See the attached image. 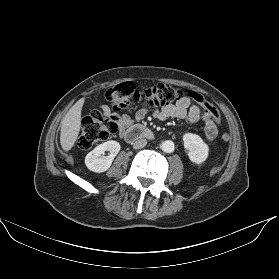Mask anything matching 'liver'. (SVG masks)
<instances>
[{"label":"liver","instance_id":"obj_1","mask_svg":"<svg viewBox=\"0 0 279 279\" xmlns=\"http://www.w3.org/2000/svg\"><path fill=\"white\" fill-rule=\"evenodd\" d=\"M85 98L79 99L61 121L60 144L64 151H69L75 144L81 128V111Z\"/></svg>","mask_w":279,"mask_h":279}]
</instances>
